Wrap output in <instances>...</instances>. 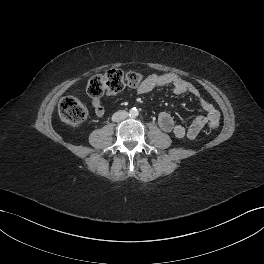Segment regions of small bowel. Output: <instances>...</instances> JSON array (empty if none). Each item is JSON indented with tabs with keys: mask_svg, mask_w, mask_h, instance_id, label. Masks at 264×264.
Returning <instances> with one entry per match:
<instances>
[{
	"mask_svg": "<svg viewBox=\"0 0 264 264\" xmlns=\"http://www.w3.org/2000/svg\"><path fill=\"white\" fill-rule=\"evenodd\" d=\"M170 87L174 94H191L205 111V115L196 117L188 127L176 124L170 114L162 112L158 116V123L161 129L167 133L173 134L177 138L194 139L200 131L211 121H218L220 118L219 111L215 106L206 100L199 90L190 82L182 79L173 73H152L148 75L139 85L137 92L144 94L155 88ZM92 107L97 117H103L106 113L101 99L93 98Z\"/></svg>",
	"mask_w": 264,
	"mask_h": 264,
	"instance_id": "c3829d8e",
	"label": "small bowel"
}]
</instances>
